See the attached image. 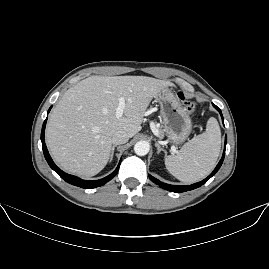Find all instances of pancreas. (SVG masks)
I'll return each instance as SVG.
<instances>
[{"instance_id": "pancreas-1", "label": "pancreas", "mask_w": 269, "mask_h": 269, "mask_svg": "<svg viewBox=\"0 0 269 269\" xmlns=\"http://www.w3.org/2000/svg\"><path fill=\"white\" fill-rule=\"evenodd\" d=\"M158 130H159V136L163 137L164 136V130L161 127L158 128Z\"/></svg>"}]
</instances>
